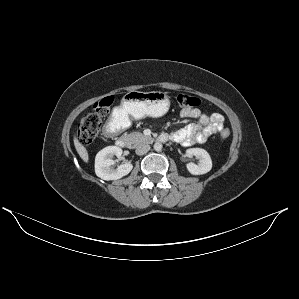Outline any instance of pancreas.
I'll use <instances>...</instances> for the list:
<instances>
[{
  "instance_id": "cf45deb5",
  "label": "pancreas",
  "mask_w": 299,
  "mask_h": 299,
  "mask_svg": "<svg viewBox=\"0 0 299 299\" xmlns=\"http://www.w3.org/2000/svg\"><path fill=\"white\" fill-rule=\"evenodd\" d=\"M130 145H138L142 142L151 141V137L145 136L141 132H132L126 135Z\"/></svg>"
}]
</instances>
